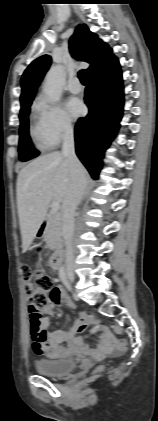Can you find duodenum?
I'll return each instance as SVG.
<instances>
[{
  "instance_id": "1",
  "label": "duodenum",
  "mask_w": 158,
  "mask_h": 421,
  "mask_svg": "<svg viewBox=\"0 0 158 421\" xmlns=\"http://www.w3.org/2000/svg\"><path fill=\"white\" fill-rule=\"evenodd\" d=\"M45 227H46V223L43 222L42 225H41V227H40V232L41 233L45 230ZM62 260H63V251L62 250H57L51 256V259H50V266H51V268L53 270L60 269L61 264H62Z\"/></svg>"
}]
</instances>
